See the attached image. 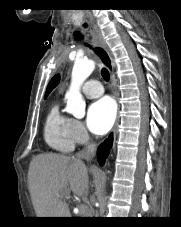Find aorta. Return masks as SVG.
Segmentation results:
<instances>
[{
    "instance_id": "1",
    "label": "aorta",
    "mask_w": 181,
    "mask_h": 227,
    "mask_svg": "<svg viewBox=\"0 0 181 227\" xmlns=\"http://www.w3.org/2000/svg\"><path fill=\"white\" fill-rule=\"evenodd\" d=\"M94 68L95 63L92 60H76L74 63L71 85L65 97L67 99V112L76 118H82L85 115L86 103L80 92V87Z\"/></svg>"
}]
</instances>
